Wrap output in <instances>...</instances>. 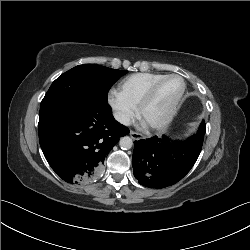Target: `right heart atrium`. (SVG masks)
I'll return each mask as SVG.
<instances>
[{
    "label": "right heart atrium",
    "mask_w": 250,
    "mask_h": 250,
    "mask_svg": "<svg viewBox=\"0 0 250 250\" xmlns=\"http://www.w3.org/2000/svg\"><path fill=\"white\" fill-rule=\"evenodd\" d=\"M108 102L112 107L115 118L123 125H127L131 122L136 114V107L128 102L120 92L111 90L108 93Z\"/></svg>",
    "instance_id": "obj_1"
}]
</instances>
